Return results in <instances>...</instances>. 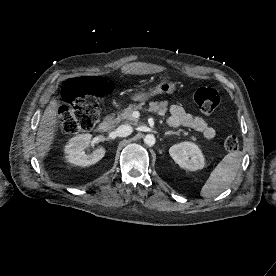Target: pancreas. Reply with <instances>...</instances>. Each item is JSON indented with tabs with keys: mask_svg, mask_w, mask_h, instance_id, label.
<instances>
[{
	"mask_svg": "<svg viewBox=\"0 0 276 276\" xmlns=\"http://www.w3.org/2000/svg\"><path fill=\"white\" fill-rule=\"evenodd\" d=\"M143 105H144L143 103H141L139 105H135V104L129 105L127 108L122 110L120 113H117L116 118H112V117H109V118L112 119L113 123H119L120 121L125 120L129 124L136 125L138 122V119L133 117V112L136 110H141L143 108ZM167 105H168V103L163 102V101L162 102H150L148 111L157 113V114L163 116L167 110ZM181 132H183L184 135L188 134L183 129H178L177 133L179 134Z\"/></svg>",
	"mask_w": 276,
	"mask_h": 276,
	"instance_id": "1",
	"label": "pancreas"
}]
</instances>
